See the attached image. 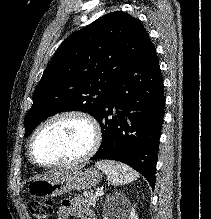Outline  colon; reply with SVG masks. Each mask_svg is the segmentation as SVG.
<instances>
[{
	"label": "colon",
	"mask_w": 211,
	"mask_h": 219,
	"mask_svg": "<svg viewBox=\"0 0 211 219\" xmlns=\"http://www.w3.org/2000/svg\"><path fill=\"white\" fill-rule=\"evenodd\" d=\"M28 210L35 219H51L54 205L51 201L32 200L28 204Z\"/></svg>",
	"instance_id": "colon-1"
}]
</instances>
